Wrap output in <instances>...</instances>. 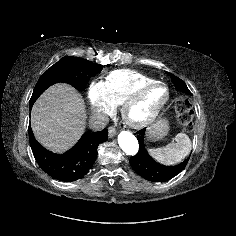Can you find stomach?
<instances>
[{
  "label": "stomach",
  "mask_w": 236,
  "mask_h": 236,
  "mask_svg": "<svg viewBox=\"0 0 236 236\" xmlns=\"http://www.w3.org/2000/svg\"><path fill=\"white\" fill-rule=\"evenodd\" d=\"M169 131V123L166 119H158L147 129V136L150 140L156 141L164 138Z\"/></svg>",
  "instance_id": "0dacf381"
}]
</instances>
